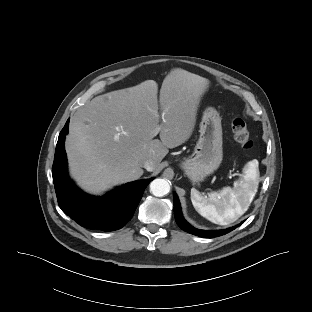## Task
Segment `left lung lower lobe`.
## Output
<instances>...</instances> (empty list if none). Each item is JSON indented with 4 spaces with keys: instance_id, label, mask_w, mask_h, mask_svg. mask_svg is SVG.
Here are the masks:
<instances>
[{
    "instance_id": "0a47b994",
    "label": "left lung lower lobe",
    "mask_w": 312,
    "mask_h": 312,
    "mask_svg": "<svg viewBox=\"0 0 312 312\" xmlns=\"http://www.w3.org/2000/svg\"><path fill=\"white\" fill-rule=\"evenodd\" d=\"M173 198H174V215H175L176 222L181 229H183L184 231H187L188 233L198 235L204 238H214V237L222 236L226 233H229L230 231L234 230L236 227L240 226L243 223L242 222L237 226H234L225 230L204 231V230L196 229L193 226H191L183 218L180 202L176 193L173 194Z\"/></svg>"
}]
</instances>
